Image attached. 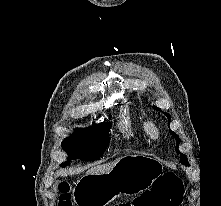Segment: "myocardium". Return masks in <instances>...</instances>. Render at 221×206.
I'll use <instances>...</instances> for the list:
<instances>
[{
  "mask_svg": "<svg viewBox=\"0 0 221 206\" xmlns=\"http://www.w3.org/2000/svg\"><path fill=\"white\" fill-rule=\"evenodd\" d=\"M147 135L153 139L156 140L159 137V129L152 121H147L145 124Z\"/></svg>",
  "mask_w": 221,
  "mask_h": 206,
  "instance_id": "obj_1",
  "label": "myocardium"
}]
</instances>
